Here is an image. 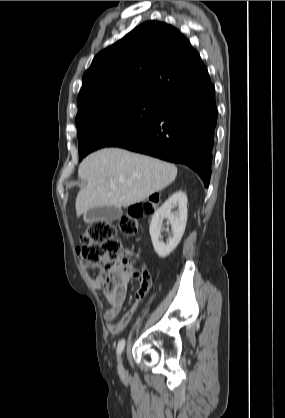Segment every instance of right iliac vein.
Segmentation results:
<instances>
[{
    "instance_id": "obj_1",
    "label": "right iliac vein",
    "mask_w": 285,
    "mask_h": 418,
    "mask_svg": "<svg viewBox=\"0 0 285 418\" xmlns=\"http://www.w3.org/2000/svg\"><path fill=\"white\" fill-rule=\"evenodd\" d=\"M118 370L121 374L125 373V369H124V366H123V363H122V357L121 356L118 359Z\"/></svg>"
}]
</instances>
